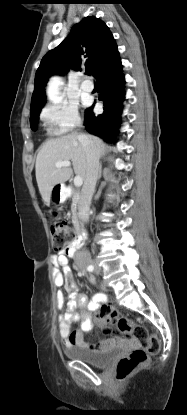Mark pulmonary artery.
I'll return each mask as SVG.
<instances>
[{
    "label": "pulmonary artery",
    "mask_w": 187,
    "mask_h": 415,
    "mask_svg": "<svg viewBox=\"0 0 187 415\" xmlns=\"http://www.w3.org/2000/svg\"><path fill=\"white\" fill-rule=\"evenodd\" d=\"M81 89L85 92H91L93 90V84L89 81H83L81 84Z\"/></svg>",
    "instance_id": "obj_1"
}]
</instances>
